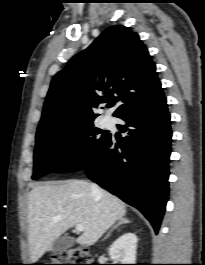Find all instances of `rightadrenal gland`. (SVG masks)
<instances>
[{"label": "right adrenal gland", "mask_w": 205, "mask_h": 265, "mask_svg": "<svg viewBox=\"0 0 205 265\" xmlns=\"http://www.w3.org/2000/svg\"><path fill=\"white\" fill-rule=\"evenodd\" d=\"M128 223H130V221L128 219H125V218L120 219V221L115 226H113L112 229L107 233V235L104 237V240L110 236V234H111V232H113V230L117 229L122 224H128Z\"/></svg>", "instance_id": "2a0ac1e0"}]
</instances>
